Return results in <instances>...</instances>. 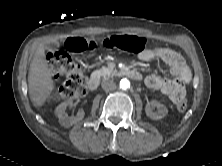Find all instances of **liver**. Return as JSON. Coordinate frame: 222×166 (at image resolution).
<instances>
[{"label": "liver", "instance_id": "obj_1", "mask_svg": "<svg viewBox=\"0 0 222 166\" xmlns=\"http://www.w3.org/2000/svg\"><path fill=\"white\" fill-rule=\"evenodd\" d=\"M28 86L30 99L35 107H41L54 89V81L45 58V47L39 45L32 59Z\"/></svg>", "mask_w": 222, "mask_h": 166}]
</instances>
